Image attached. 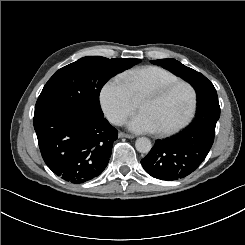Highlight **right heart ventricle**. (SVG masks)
I'll return each mask as SVG.
<instances>
[{
    "label": "right heart ventricle",
    "mask_w": 245,
    "mask_h": 245,
    "mask_svg": "<svg viewBox=\"0 0 245 245\" xmlns=\"http://www.w3.org/2000/svg\"><path fill=\"white\" fill-rule=\"evenodd\" d=\"M129 88L133 100H137L145 87L151 84L165 86L181 81L170 71L157 66H142L127 70L118 76Z\"/></svg>",
    "instance_id": "right-heart-ventricle-1"
}]
</instances>
